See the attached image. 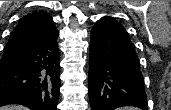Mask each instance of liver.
I'll list each match as a JSON object with an SVG mask.
<instances>
[{
	"label": "liver",
	"instance_id": "1",
	"mask_svg": "<svg viewBox=\"0 0 171 110\" xmlns=\"http://www.w3.org/2000/svg\"><path fill=\"white\" fill-rule=\"evenodd\" d=\"M2 110H26L24 107L22 106H5V107H2Z\"/></svg>",
	"mask_w": 171,
	"mask_h": 110
}]
</instances>
